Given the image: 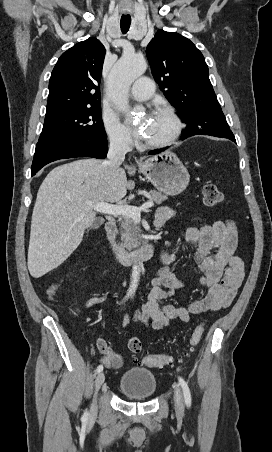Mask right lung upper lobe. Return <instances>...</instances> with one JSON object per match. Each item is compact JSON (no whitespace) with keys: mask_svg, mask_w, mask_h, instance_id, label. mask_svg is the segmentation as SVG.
Instances as JSON below:
<instances>
[{"mask_svg":"<svg viewBox=\"0 0 272 452\" xmlns=\"http://www.w3.org/2000/svg\"><path fill=\"white\" fill-rule=\"evenodd\" d=\"M105 53L99 40L88 38L60 56L49 80L46 114L100 104Z\"/></svg>","mask_w":272,"mask_h":452,"instance_id":"obj_1","label":"right lung upper lobe"}]
</instances>
